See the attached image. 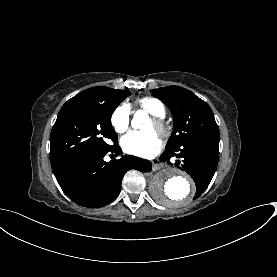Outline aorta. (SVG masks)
Here are the masks:
<instances>
[{"instance_id":"762f6f07","label":"aorta","mask_w":277,"mask_h":277,"mask_svg":"<svg viewBox=\"0 0 277 277\" xmlns=\"http://www.w3.org/2000/svg\"><path fill=\"white\" fill-rule=\"evenodd\" d=\"M147 120V114L138 110L132 119V127L139 128ZM152 196L163 205H185L195 193L192 179L183 171L167 167L159 171L151 180Z\"/></svg>"}]
</instances>
